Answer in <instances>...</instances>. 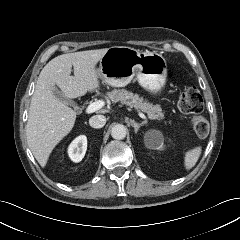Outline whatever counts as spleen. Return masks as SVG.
I'll return each mask as SVG.
<instances>
[{
	"mask_svg": "<svg viewBox=\"0 0 240 240\" xmlns=\"http://www.w3.org/2000/svg\"><path fill=\"white\" fill-rule=\"evenodd\" d=\"M201 151H202V148L198 146L193 149H190L185 153L184 167L186 170H190L195 166V164L197 163L200 157Z\"/></svg>",
	"mask_w": 240,
	"mask_h": 240,
	"instance_id": "3e777b00",
	"label": "spleen"
}]
</instances>
